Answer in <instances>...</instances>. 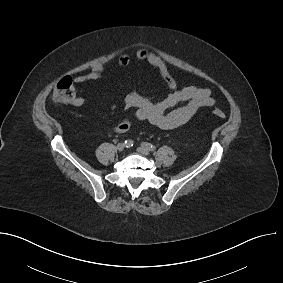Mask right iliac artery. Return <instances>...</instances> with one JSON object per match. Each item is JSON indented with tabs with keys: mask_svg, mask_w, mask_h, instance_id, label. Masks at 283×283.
<instances>
[{
	"mask_svg": "<svg viewBox=\"0 0 283 283\" xmlns=\"http://www.w3.org/2000/svg\"><path fill=\"white\" fill-rule=\"evenodd\" d=\"M124 145L126 146V147H131V146H133V141L132 140H125L124 141Z\"/></svg>",
	"mask_w": 283,
	"mask_h": 283,
	"instance_id": "82829eb1",
	"label": "right iliac artery"
}]
</instances>
